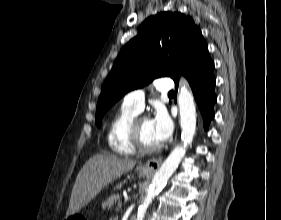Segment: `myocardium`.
Returning a JSON list of instances; mask_svg holds the SVG:
<instances>
[{
  "mask_svg": "<svg viewBox=\"0 0 281 220\" xmlns=\"http://www.w3.org/2000/svg\"><path fill=\"white\" fill-rule=\"evenodd\" d=\"M147 119L144 117H136L130 127H129V132H128V137L131 145L133 148L140 153H154L158 151L161 148V145L153 146V147H148L143 144L140 136V131H139V124L141 120Z\"/></svg>",
  "mask_w": 281,
  "mask_h": 220,
  "instance_id": "obj_1",
  "label": "myocardium"
}]
</instances>
